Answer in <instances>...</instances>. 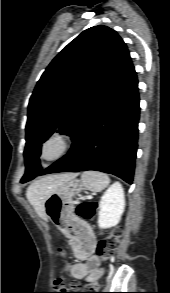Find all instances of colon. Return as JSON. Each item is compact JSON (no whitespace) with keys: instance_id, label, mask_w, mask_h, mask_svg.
I'll list each match as a JSON object with an SVG mask.
<instances>
[{"instance_id":"colon-1","label":"colon","mask_w":170,"mask_h":293,"mask_svg":"<svg viewBox=\"0 0 170 293\" xmlns=\"http://www.w3.org/2000/svg\"><path fill=\"white\" fill-rule=\"evenodd\" d=\"M98 204L95 201H83L79 203L76 208V214L87 221L94 217ZM58 227L62 230V232L67 236H76L83 237L86 229V225L83 221H74L69 220L63 223H59ZM123 235L122 227H116L111 230L109 236L103 240L97 247L96 253L103 260H107L110 258L115 251L118 249L120 244V239ZM62 256H65L64 252H61ZM93 285L86 287L83 292L79 291V284L77 282H65L62 279H58L56 281V291L53 293H92Z\"/></svg>"}]
</instances>
